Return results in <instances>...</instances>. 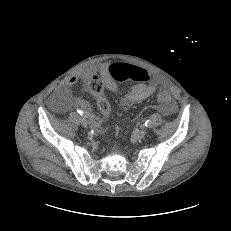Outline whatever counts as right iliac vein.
<instances>
[{
    "mask_svg": "<svg viewBox=\"0 0 231 231\" xmlns=\"http://www.w3.org/2000/svg\"><path fill=\"white\" fill-rule=\"evenodd\" d=\"M80 123L83 127H85V128L88 127V122L85 118H83V117L80 118Z\"/></svg>",
    "mask_w": 231,
    "mask_h": 231,
    "instance_id": "63e3f726",
    "label": "right iliac vein"
}]
</instances>
